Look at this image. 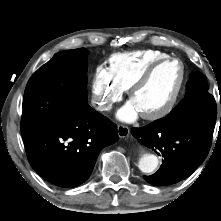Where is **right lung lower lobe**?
<instances>
[{
    "label": "right lung lower lobe",
    "mask_w": 221,
    "mask_h": 221,
    "mask_svg": "<svg viewBox=\"0 0 221 221\" xmlns=\"http://www.w3.org/2000/svg\"><path fill=\"white\" fill-rule=\"evenodd\" d=\"M118 139L116 125L88 104L62 123L23 134L32 168L63 188L85 182L100 150Z\"/></svg>",
    "instance_id": "1"
}]
</instances>
